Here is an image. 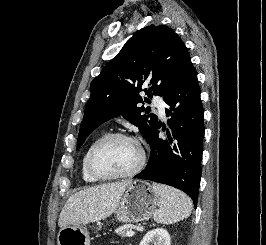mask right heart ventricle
Instances as JSON below:
<instances>
[{
    "instance_id": "obj_1",
    "label": "right heart ventricle",
    "mask_w": 266,
    "mask_h": 245,
    "mask_svg": "<svg viewBox=\"0 0 266 245\" xmlns=\"http://www.w3.org/2000/svg\"><path fill=\"white\" fill-rule=\"evenodd\" d=\"M103 134H98L95 137H93L90 142L88 143L83 156L81 158V163H80V174L82 180L87 183V184H96L100 180L96 179L89 171L88 169V153L92 145L95 143V141L100 138Z\"/></svg>"
}]
</instances>
